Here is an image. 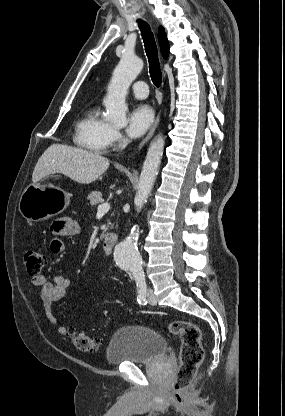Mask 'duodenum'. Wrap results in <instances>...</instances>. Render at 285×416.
I'll list each match as a JSON object with an SVG mask.
<instances>
[{
  "instance_id": "410a0bca",
  "label": "duodenum",
  "mask_w": 285,
  "mask_h": 416,
  "mask_svg": "<svg viewBox=\"0 0 285 416\" xmlns=\"http://www.w3.org/2000/svg\"><path fill=\"white\" fill-rule=\"evenodd\" d=\"M117 242V236L114 234H110L103 239L102 242V249L105 254H110L114 245Z\"/></svg>"
}]
</instances>
